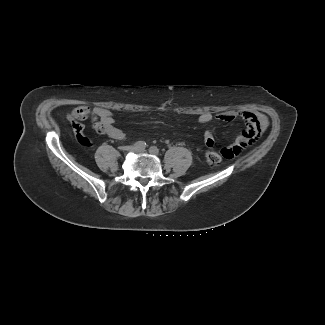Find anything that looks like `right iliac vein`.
I'll return each mask as SVG.
<instances>
[{
    "mask_svg": "<svg viewBox=\"0 0 325 325\" xmlns=\"http://www.w3.org/2000/svg\"><path fill=\"white\" fill-rule=\"evenodd\" d=\"M136 147L134 146H123L122 150L123 151H131V150H135Z\"/></svg>",
    "mask_w": 325,
    "mask_h": 325,
    "instance_id": "right-iliac-vein-1",
    "label": "right iliac vein"
}]
</instances>
